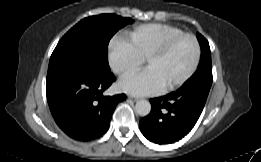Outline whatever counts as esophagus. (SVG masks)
Wrapping results in <instances>:
<instances>
[{
    "instance_id": "34e87169",
    "label": "esophagus",
    "mask_w": 261,
    "mask_h": 162,
    "mask_svg": "<svg viewBox=\"0 0 261 162\" xmlns=\"http://www.w3.org/2000/svg\"><path fill=\"white\" fill-rule=\"evenodd\" d=\"M128 99H129V100H132V101H137V100H138V98L132 97V96H128Z\"/></svg>"
}]
</instances>
